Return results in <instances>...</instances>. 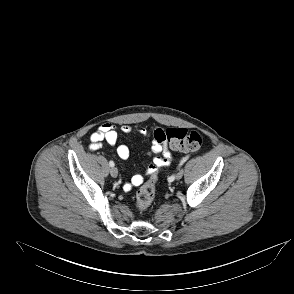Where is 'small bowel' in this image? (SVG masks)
I'll return each instance as SVG.
<instances>
[{
    "label": "small bowel",
    "instance_id": "c3829d8e",
    "mask_svg": "<svg viewBox=\"0 0 294 294\" xmlns=\"http://www.w3.org/2000/svg\"><path fill=\"white\" fill-rule=\"evenodd\" d=\"M120 130L124 134L136 133L142 136L151 137L152 139L149 155L153 156V161L142 174L134 175L129 182H126L123 185L124 190L128 191L134 186L141 185L145 177L157 174L161 167L167 166L170 163L171 156L166 147V143L157 141L154 134H150L143 126L139 124H124L120 127ZM117 140L118 133L116 126L113 123H104L99 126L97 131L91 134L89 149L92 151L98 150L103 143L115 146ZM117 154L121 159H127L130 156V150L126 145L119 144L117 146Z\"/></svg>",
    "mask_w": 294,
    "mask_h": 294
}]
</instances>
